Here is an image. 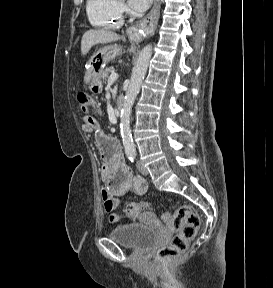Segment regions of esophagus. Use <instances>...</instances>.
Listing matches in <instances>:
<instances>
[{
    "label": "esophagus",
    "mask_w": 273,
    "mask_h": 288,
    "mask_svg": "<svg viewBox=\"0 0 273 288\" xmlns=\"http://www.w3.org/2000/svg\"><path fill=\"white\" fill-rule=\"evenodd\" d=\"M160 15V0H155L150 12L140 21L127 29V34L132 40H139L142 33H153Z\"/></svg>",
    "instance_id": "1"
}]
</instances>
